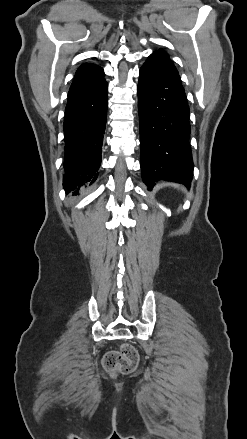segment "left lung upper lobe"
Here are the masks:
<instances>
[{"mask_svg":"<svg viewBox=\"0 0 247 439\" xmlns=\"http://www.w3.org/2000/svg\"><path fill=\"white\" fill-rule=\"evenodd\" d=\"M148 59H153L157 61L169 72L175 74L176 76H179L175 65L172 63V61L169 58V55L163 49H159L158 51H155L153 54L149 56Z\"/></svg>","mask_w":247,"mask_h":439,"instance_id":"obj_1","label":"left lung upper lobe"}]
</instances>
